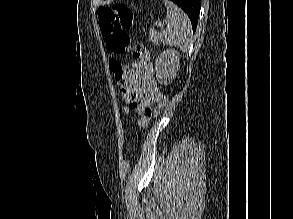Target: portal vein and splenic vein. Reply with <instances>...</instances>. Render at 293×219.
<instances>
[{"label":"portal vein and splenic vein","instance_id":"1","mask_svg":"<svg viewBox=\"0 0 293 219\" xmlns=\"http://www.w3.org/2000/svg\"><path fill=\"white\" fill-rule=\"evenodd\" d=\"M154 26H156V27H158V28H163L164 27V24L163 23H161V22H156L155 24H154ZM152 30H154L155 31V28L153 27V29Z\"/></svg>","mask_w":293,"mask_h":219}]
</instances>
